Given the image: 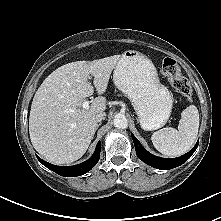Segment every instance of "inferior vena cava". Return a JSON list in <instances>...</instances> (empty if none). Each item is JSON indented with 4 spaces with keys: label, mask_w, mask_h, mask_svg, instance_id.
I'll return each instance as SVG.
<instances>
[{
    "label": "inferior vena cava",
    "mask_w": 221,
    "mask_h": 221,
    "mask_svg": "<svg viewBox=\"0 0 221 221\" xmlns=\"http://www.w3.org/2000/svg\"><path fill=\"white\" fill-rule=\"evenodd\" d=\"M105 116H106V114L104 112L103 113H99V114H97L95 116V121L96 122H101L102 120L105 119Z\"/></svg>",
    "instance_id": "obj_1"
}]
</instances>
